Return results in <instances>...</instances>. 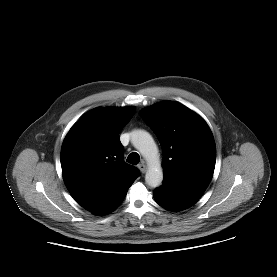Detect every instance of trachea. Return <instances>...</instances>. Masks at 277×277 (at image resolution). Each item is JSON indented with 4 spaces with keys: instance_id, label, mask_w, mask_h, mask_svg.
<instances>
[{
    "instance_id": "trachea-1",
    "label": "trachea",
    "mask_w": 277,
    "mask_h": 277,
    "mask_svg": "<svg viewBox=\"0 0 277 277\" xmlns=\"http://www.w3.org/2000/svg\"><path fill=\"white\" fill-rule=\"evenodd\" d=\"M140 161V156L138 153L133 152L127 157V162L133 165L138 164Z\"/></svg>"
}]
</instances>
